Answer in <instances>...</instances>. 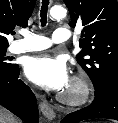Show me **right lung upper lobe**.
I'll return each instance as SVG.
<instances>
[{
    "instance_id": "right-lung-upper-lobe-1",
    "label": "right lung upper lobe",
    "mask_w": 118,
    "mask_h": 123,
    "mask_svg": "<svg viewBox=\"0 0 118 123\" xmlns=\"http://www.w3.org/2000/svg\"><path fill=\"white\" fill-rule=\"evenodd\" d=\"M36 0H0V49L8 48L6 35L16 26L27 27Z\"/></svg>"
}]
</instances>
